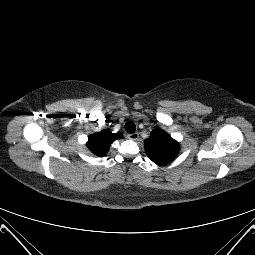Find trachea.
Wrapping results in <instances>:
<instances>
[{
	"mask_svg": "<svg viewBox=\"0 0 255 255\" xmlns=\"http://www.w3.org/2000/svg\"><path fill=\"white\" fill-rule=\"evenodd\" d=\"M125 130H126V132H128V133H134L135 130H136V126H135V124H134L132 121H128V122L125 124Z\"/></svg>",
	"mask_w": 255,
	"mask_h": 255,
	"instance_id": "1",
	"label": "trachea"
}]
</instances>
